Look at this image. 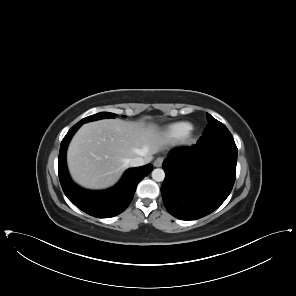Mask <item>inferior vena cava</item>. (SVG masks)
<instances>
[{
  "instance_id": "obj_1",
  "label": "inferior vena cava",
  "mask_w": 296,
  "mask_h": 296,
  "mask_svg": "<svg viewBox=\"0 0 296 296\" xmlns=\"http://www.w3.org/2000/svg\"><path fill=\"white\" fill-rule=\"evenodd\" d=\"M146 163L145 159L142 157H134L130 160V167H139Z\"/></svg>"
}]
</instances>
